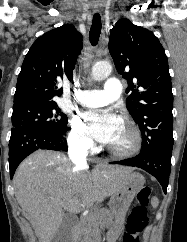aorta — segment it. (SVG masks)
I'll return each mask as SVG.
<instances>
[{
    "mask_svg": "<svg viewBox=\"0 0 187 242\" xmlns=\"http://www.w3.org/2000/svg\"><path fill=\"white\" fill-rule=\"evenodd\" d=\"M112 72V66L108 62H97L91 70V76L94 80H103Z\"/></svg>",
    "mask_w": 187,
    "mask_h": 242,
    "instance_id": "aorta-1",
    "label": "aorta"
}]
</instances>
